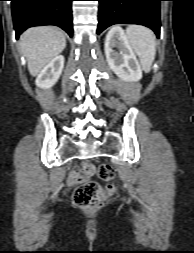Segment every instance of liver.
Listing matches in <instances>:
<instances>
[{"label":"liver","instance_id":"6515ba94","mask_svg":"<svg viewBox=\"0 0 194 253\" xmlns=\"http://www.w3.org/2000/svg\"><path fill=\"white\" fill-rule=\"evenodd\" d=\"M66 46L63 31L57 27L38 26L26 30L20 41V51L27 60L32 76L58 56Z\"/></svg>","mask_w":194,"mask_h":253}]
</instances>
